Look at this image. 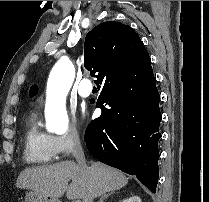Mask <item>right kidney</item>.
I'll use <instances>...</instances> for the list:
<instances>
[{
	"instance_id": "ca27d5eb",
	"label": "right kidney",
	"mask_w": 209,
	"mask_h": 202,
	"mask_svg": "<svg viewBox=\"0 0 209 202\" xmlns=\"http://www.w3.org/2000/svg\"><path fill=\"white\" fill-rule=\"evenodd\" d=\"M122 202H142L139 196H132Z\"/></svg>"
}]
</instances>
